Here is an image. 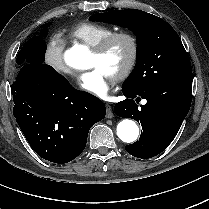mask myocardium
Returning a JSON list of instances; mask_svg holds the SVG:
<instances>
[{
    "label": "myocardium",
    "instance_id": "f54148a6",
    "mask_svg": "<svg viewBox=\"0 0 209 209\" xmlns=\"http://www.w3.org/2000/svg\"><path fill=\"white\" fill-rule=\"evenodd\" d=\"M126 40L130 45V55L122 67V69L118 72V74L114 77L116 81H123L125 80L130 73L132 72L139 56V41L137 37L128 31H119L113 32L108 37H106L103 41H101L97 46L93 47V53L98 57H104L113 44L118 40Z\"/></svg>",
    "mask_w": 209,
    "mask_h": 209
}]
</instances>
